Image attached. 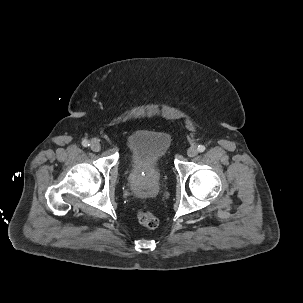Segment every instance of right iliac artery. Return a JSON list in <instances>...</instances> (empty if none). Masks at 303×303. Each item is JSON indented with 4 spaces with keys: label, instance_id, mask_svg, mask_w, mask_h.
Instances as JSON below:
<instances>
[{
    "label": "right iliac artery",
    "instance_id": "right-iliac-artery-1",
    "mask_svg": "<svg viewBox=\"0 0 303 303\" xmlns=\"http://www.w3.org/2000/svg\"><path fill=\"white\" fill-rule=\"evenodd\" d=\"M82 145H83L84 147H87V146H89L90 144H89V141L85 139V140L82 141Z\"/></svg>",
    "mask_w": 303,
    "mask_h": 303
}]
</instances>
